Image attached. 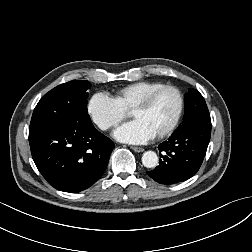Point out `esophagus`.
<instances>
[{
	"mask_svg": "<svg viewBox=\"0 0 252 252\" xmlns=\"http://www.w3.org/2000/svg\"><path fill=\"white\" fill-rule=\"evenodd\" d=\"M131 149L135 152H143L144 149L142 147L131 146Z\"/></svg>",
	"mask_w": 252,
	"mask_h": 252,
	"instance_id": "obj_1",
	"label": "esophagus"
}]
</instances>
